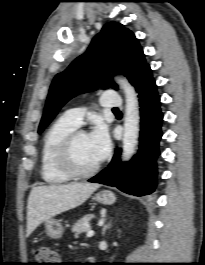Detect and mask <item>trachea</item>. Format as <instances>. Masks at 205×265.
Returning a JSON list of instances; mask_svg holds the SVG:
<instances>
[{"instance_id":"obj_1","label":"trachea","mask_w":205,"mask_h":265,"mask_svg":"<svg viewBox=\"0 0 205 265\" xmlns=\"http://www.w3.org/2000/svg\"><path fill=\"white\" fill-rule=\"evenodd\" d=\"M113 110H118L117 108H114Z\"/></svg>"}]
</instances>
